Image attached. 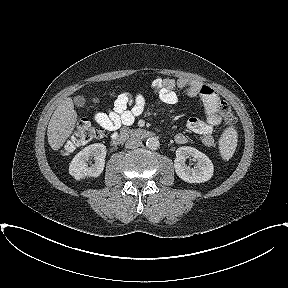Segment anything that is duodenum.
Instances as JSON below:
<instances>
[{"mask_svg":"<svg viewBox=\"0 0 288 288\" xmlns=\"http://www.w3.org/2000/svg\"><path fill=\"white\" fill-rule=\"evenodd\" d=\"M153 133L142 128L123 129L116 137L112 139L113 145H119L129 138L146 139L152 137Z\"/></svg>","mask_w":288,"mask_h":288,"instance_id":"obj_1","label":"duodenum"}]
</instances>
